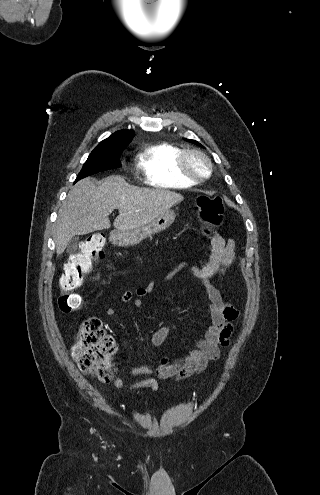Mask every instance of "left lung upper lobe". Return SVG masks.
I'll use <instances>...</instances> for the list:
<instances>
[{"mask_svg":"<svg viewBox=\"0 0 320 495\" xmlns=\"http://www.w3.org/2000/svg\"><path fill=\"white\" fill-rule=\"evenodd\" d=\"M186 141H189V142L194 143V144H196V145L202 146L199 142H197V141H195V140L186 139Z\"/></svg>","mask_w":320,"mask_h":495,"instance_id":"left-lung-upper-lobe-1","label":"left lung upper lobe"}]
</instances>
